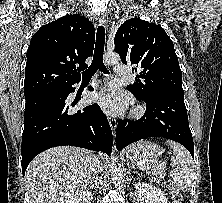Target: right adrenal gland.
I'll use <instances>...</instances> for the list:
<instances>
[{
    "label": "right adrenal gland",
    "instance_id": "obj_1",
    "mask_svg": "<svg viewBox=\"0 0 222 203\" xmlns=\"http://www.w3.org/2000/svg\"><path fill=\"white\" fill-rule=\"evenodd\" d=\"M95 180H90L87 184L86 187L89 186V188L93 189L96 185Z\"/></svg>",
    "mask_w": 222,
    "mask_h": 203
}]
</instances>
